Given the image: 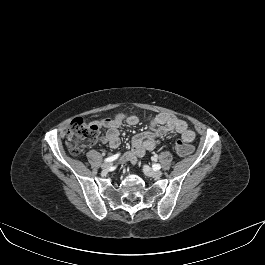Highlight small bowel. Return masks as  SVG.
I'll return each mask as SVG.
<instances>
[{"instance_id":"c3829d8e","label":"small bowel","mask_w":265,"mask_h":265,"mask_svg":"<svg viewBox=\"0 0 265 265\" xmlns=\"http://www.w3.org/2000/svg\"><path fill=\"white\" fill-rule=\"evenodd\" d=\"M148 121L149 129L132 138L131 151L123 156L122 162L136 164L138 157L156 148L160 136L170 132L178 133L181 140L186 143H191L195 138V133L188 127V124L174 115L160 113L150 117ZM138 122L139 119L136 115L120 113L112 118L98 120L94 125L98 129L105 130L101 142L108 144L111 148H117L120 145L119 128L123 123L135 126Z\"/></svg>"}]
</instances>
